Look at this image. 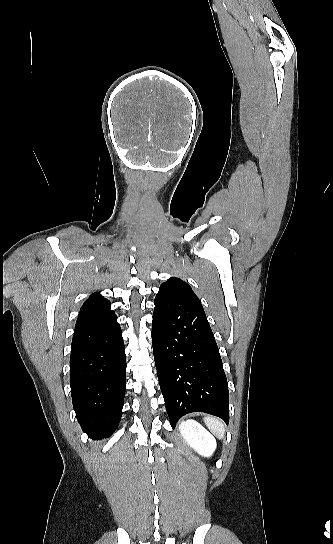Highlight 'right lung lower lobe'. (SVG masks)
Here are the masks:
<instances>
[{"label": "right lung lower lobe", "instance_id": "obj_1", "mask_svg": "<svg viewBox=\"0 0 333 544\" xmlns=\"http://www.w3.org/2000/svg\"><path fill=\"white\" fill-rule=\"evenodd\" d=\"M126 356L114 313L75 326L70 355L73 407L88 437H108L121 418Z\"/></svg>", "mask_w": 333, "mask_h": 544}]
</instances>
